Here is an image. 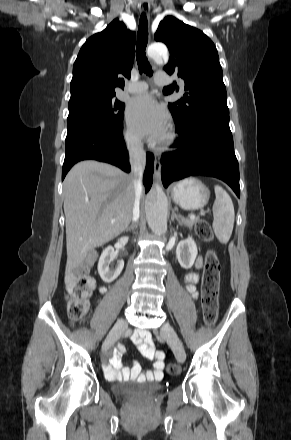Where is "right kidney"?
<instances>
[{"mask_svg": "<svg viewBox=\"0 0 291 440\" xmlns=\"http://www.w3.org/2000/svg\"><path fill=\"white\" fill-rule=\"evenodd\" d=\"M127 240L126 237H122L118 242L124 243ZM117 259V255L114 252V248L108 246L103 250L98 262V273L104 282L110 283L114 281L121 273L124 267V261Z\"/></svg>", "mask_w": 291, "mask_h": 440, "instance_id": "obj_1", "label": "right kidney"}]
</instances>
